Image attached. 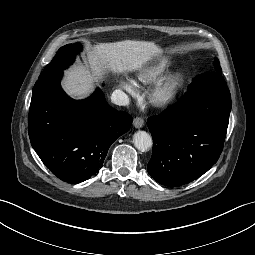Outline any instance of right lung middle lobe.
Listing matches in <instances>:
<instances>
[{
  "label": "right lung middle lobe",
  "mask_w": 255,
  "mask_h": 255,
  "mask_svg": "<svg viewBox=\"0 0 255 255\" xmlns=\"http://www.w3.org/2000/svg\"><path fill=\"white\" fill-rule=\"evenodd\" d=\"M82 49L80 43L68 44L61 47L53 60L43 72L66 69L75 59V55Z\"/></svg>",
  "instance_id": "dd1d6c3e"
}]
</instances>
